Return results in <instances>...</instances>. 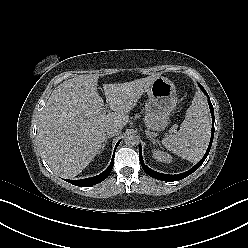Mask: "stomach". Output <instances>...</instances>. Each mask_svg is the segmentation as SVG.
Returning a JSON list of instances; mask_svg holds the SVG:
<instances>
[{
    "mask_svg": "<svg viewBox=\"0 0 248 248\" xmlns=\"http://www.w3.org/2000/svg\"><path fill=\"white\" fill-rule=\"evenodd\" d=\"M145 93L148 95L145 125L148 130H161L167 125L169 114L177 104L175 85L168 78L158 76L145 89Z\"/></svg>",
    "mask_w": 248,
    "mask_h": 248,
    "instance_id": "obj_1",
    "label": "stomach"
}]
</instances>
